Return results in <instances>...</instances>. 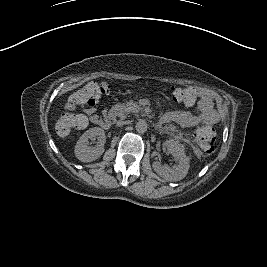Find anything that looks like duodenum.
<instances>
[{
  "mask_svg": "<svg viewBox=\"0 0 267 267\" xmlns=\"http://www.w3.org/2000/svg\"><path fill=\"white\" fill-rule=\"evenodd\" d=\"M122 114V108L121 107H116L111 112L106 116L105 118V125L110 126L112 123L115 122L116 118L119 117Z\"/></svg>",
  "mask_w": 267,
  "mask_h": 267,
  "instance_id": "duodenum-1",
  "label": "duodenum"
}]
</instances>
